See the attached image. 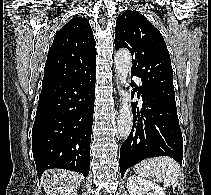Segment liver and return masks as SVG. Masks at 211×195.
I'll return each instance as SVG.
<instances>
[{"label": "liver", "instance_id": "1", "mask_svg": "<svg viewBox=\"0 0 211 195\" xmlns=\"http://www.w3.org/2000/svg\"><path fill=\"white\" fill-rule=\"evenodd\" d=\"M43 177L47 195H76L83 180L80 174L64 169L46 170Z\"/></svg>", "mask_w": 211, "mask_h": 195}]
</instances>
